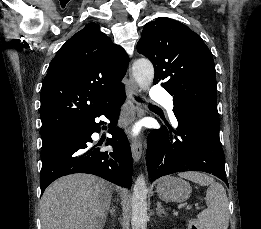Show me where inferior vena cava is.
Listing matches in <instances>:
<instances>
[{"instance_id":"inferior-vena-cava-1","label":"inferior vena cava","mask_w":261,"mask_h":229,"mask_svg":"<svg viewBox=\"0 0 261 229\" xmlns=\"http://www.w3.org/2000/svg\"><path fill=\"white\" fill-rule=\"evenodd\" d=\"M111 213H114V209H112Z\"/></svg>"}]
</instances>
